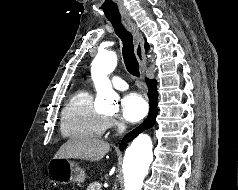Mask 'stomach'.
I'll return each mask as SVG.
<instances>
[{
	"instance_id": "obj_1",
	"label": "stomach",
	"mask_w": 238,
	"mask_h": 190,
	"mask_svg": "<svg viewBox=\"0 0 238 190\" xmlns=\"http://www.w3.org/2000/svg\"><path fill=\"white\" fill-rule=\"evenodd\" d=\"M51 179L59 184L83 183L85 171L68 159H52L47 165Z\"/></svg>"
}]
</instances>
